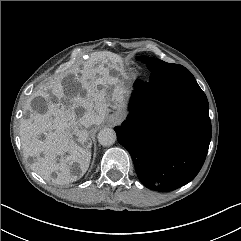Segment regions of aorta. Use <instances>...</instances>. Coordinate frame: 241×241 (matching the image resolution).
Wrapping results in <instances>:
<instances>
[{
	"label": "aorta",
	"instance_id": "762f6f07",
	"mask_svg": "<svg viewBox=\"0 0 241 241\" xmlns=\"http://www.w3.org/2000/svg\"><path fill=\"white\" fill-rule=\"evenodd\" d=\"M98 142L102 146H111L116 141V133L112 128H103L98 133Z\"/></svg>",
	"mask_w": 241,
	"mask_h": 241
}]
</instances>
